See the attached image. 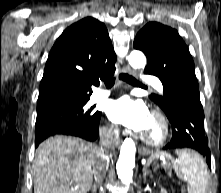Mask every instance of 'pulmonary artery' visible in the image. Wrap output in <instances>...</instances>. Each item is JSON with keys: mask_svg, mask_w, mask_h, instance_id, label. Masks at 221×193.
Listing matches in <instances>:
<instances>
[{"mask_svg": "<svg viewBox=\"0 0 221 193\" xmlns=\"http://www.w3.org/2000/svg\"><path fill=\"white\" fill-rule=\"evenodd\" d=\"M142 80L145 83L153 86L156 90H158L160 92L163 91V85L157 77H154V76H151V75H146L142 78ZM109 95H110V90L99 89V90H97L93 93L92 100L93 101H100V100H103V99L107 98Z\"/></svg>", "mask_w": 221, "mask_h": 193, "instance_id": "obj_1", "label": "pulmonary artery"}]
</instances>
